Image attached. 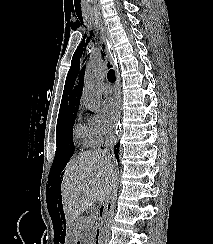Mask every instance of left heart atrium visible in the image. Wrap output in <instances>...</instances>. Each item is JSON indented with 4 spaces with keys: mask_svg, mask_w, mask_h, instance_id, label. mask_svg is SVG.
<instances>
[{
    "mask_svg": "<svg viewBox=\"0 0 213 244\" xmlns=\"http://www.w3.org/2000/svg\"><path fill=\"white\" fill-rule=\"evenodd\" d=\"M105 123L109 129H112L117 124L120 114V104L118 98L108 97L102 104Z\"/></svg>",
    "mask_w": 213,
    "mask_h": 244,
    "instance_id": "39dd6f15",
    "label": "left heart atrium"
}]
</instances>
